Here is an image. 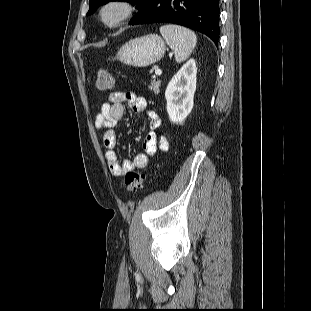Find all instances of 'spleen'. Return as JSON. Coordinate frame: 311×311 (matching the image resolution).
Returning a JSON list of instances; mask_svg holds the SVG:
<instances>
[{"mask_svg": "<svg viewBox=\"0 0 311 311\" xmlns=\"http://www.w3.org/2000/svg\"><path fill=\"white\" fill-rule=\"evenodd\" d=\"M160 33L173 50L175 60L178 63L185 61L196 46L197 37L195 33L185 27L164 25L160 27Z\"/></svg>", "mask_w": 311, "mask_h": 311, "instance_id": "3e777b00", "label": "spleen"}]
</instances>
